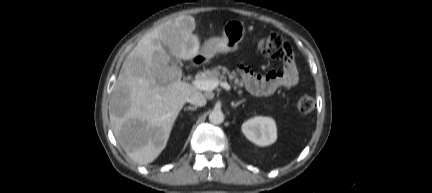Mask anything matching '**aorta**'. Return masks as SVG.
<instances>
[{
  "label": "aorta",
  "instance_id": "762f6f07",
  "mask_svg": "<svg viewBox=\"0 0 432 193\" xmlns=\"http://www.w3.org/2000/svg\"><path fill=\"white\" fill-rule=\"evenodd\" d=\"M209 121L212 124H221L224 121V114L221 110H213L210 114H209Z\"/></svg>",
  "mask_w": 432,
  "mask_h": 193
}]
</instances>
